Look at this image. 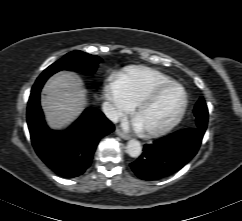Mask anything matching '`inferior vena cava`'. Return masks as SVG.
I'll use <instances>...</instances> for the list:
<instances>
[{"label": "inferior vena cava", "instance_id": "obj_1", "mask_svg": "<svg viewBox=\"0 0 242 221\" xmlns=\"http://www.w3.org/2000/svg\"><path fill=\"white\" fill-rule=\"evenodd\" d=\"M102 110L106 117L110 119L112 122H117L119 120L120 114L109 102H104L102 104Z\"/></svg>", "mask_w": 242, "mask_h": 221}]
</instances>
